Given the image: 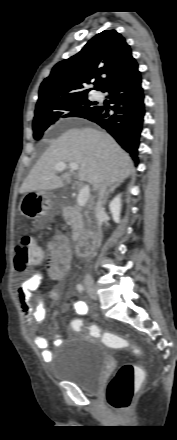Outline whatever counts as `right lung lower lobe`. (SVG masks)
<instances>
[{"label": "right lung lower lobe", "mask_w": 177, "mask_h": 440, "mask_svg": "<svg viewBox=\"0 0 177 440\" xmlns=\"http://www.w3.org/2000/svg\"><path fill=\"white\" fill-rule=\"evenodd\" d=\"M104 92L109 93L110 108L97 106L83 118L106 129L138 163V147L145 115L144 94L138 66L113 82ZM113 111V114H109Z\"/></svg>", "instance_id": "obj_1"}]
</instances>
